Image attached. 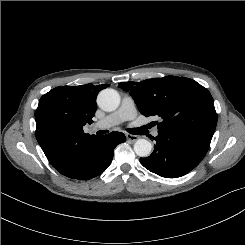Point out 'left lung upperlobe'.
<instances>
[{"label": "left lung upper lobe", "instance_id": "obj_1", "mask_svg": "<svg viewBox=\"0 0 245 245\" xmlns=\"http://www.w3.org/2000/svg\"><path fill=\"white\" fill-rule=\"evenodd\" d=\"M139 111L159 116L158 130L184 129L213 136L217 113L210 92L196 81L177 76L152 78L140 82H121Z\"/></svg>", "mask_w": 245, "mask_h": 245}]
</instances>
